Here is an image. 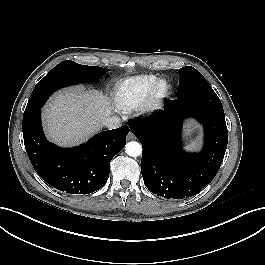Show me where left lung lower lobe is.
Listing matches in <instances>:
<instances>
[{
    "label": "left lung lower lobe",
    "instance_id": "0a47b994",
    "mask_svg": "<svg viewBox=\"0 0 265 265\" xmlns=\"http://www.w3.org/2000/svg\"><path fill=\"white\" fill-rule=\"evenodd\" d=\"M195 117L204 126V148L186 153L180 143L185 118ZM143 146L141 173L145 186L165 198L181 199L199 193L217 174L227 148L225 116L180 107L167 100L164 110L148 120L129 123Z\"/></svg>",
    "mask_w": 265,
    "mask_h": 265
}]
</instances>
